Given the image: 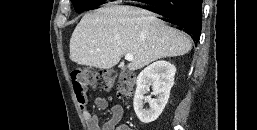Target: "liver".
I'll list each match as a JSON object with an SVG mask.
<instances>
[{
  "instance_id": "liver-1",
  "label": "liver",
  "mask_w": 257,
  "mask_h": 130,
  "mask_svg": "<svg viewBox=\"0 0 257 130\" xmlns=\"http://www.w3.org/2000/svg\"><path fill=\"white\" fill-rule=\"evenodd\" d=\"M192 48L183 32L147 10L130 6L102 7L85 14L70 39V59L80 65L110 69L131 54L135 71L162 58L182 56Z\"/></svg>"
}]
</instances>
